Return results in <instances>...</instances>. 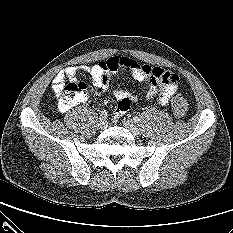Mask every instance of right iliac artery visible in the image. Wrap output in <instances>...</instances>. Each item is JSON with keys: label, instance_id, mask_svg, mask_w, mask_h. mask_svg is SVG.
Instances as JSON below:
<instances>
[{"label": "right iliac artery", "instance_id": "right-iliac-artery-1", "mask_svg": "<svg viewBox=\"0 0 233 233\" xmlns=\"http://www.w3.org/2000/svg\"><path fill=\"white\" fill-rule=\"evenodd\" d=\"M106 118H107V111L106 110L101 111L100 119H106Z\"/></svg>", "mask_w": 233, "mask_h": 233}]
</instances>
